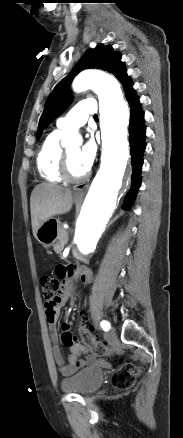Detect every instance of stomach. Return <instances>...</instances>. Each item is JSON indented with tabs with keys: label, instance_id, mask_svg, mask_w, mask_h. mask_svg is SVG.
Returning a JSON list of instances; mask_svg holds the SVG:
<instances>
[{
	"label": "stomach",
	"instance_id": "0dacf381",
	"mask_svg": "<svg viewBox=\"0 0 183 438\" xmlns=\"http://www.w3.org/2000/svg\"><path fill=\"white\" fill-rule=\"evenodd\" d=\"M75 201L77 199L75 198ZM61 224L57 219H48L41 224L37 231L36 238L45 248L53 246L60 236Z\"/></svg>",
	"mask_w": 183,
	"mask_h": 438
}]
</instances>
